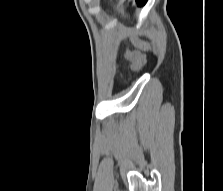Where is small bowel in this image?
I'll use <instances>...</instances> for the list:
<instances>
[{
  "label": "small bowel",
  "instance_id": "small-bowel-1",
  "mask_svg": "<svg viewBox=\"0 0 223 191\" xmlns=\"http://www.w3.org/2000/svg\"><path fill=\"white\" fill-rule=\"evenodd\" d=\"M126 58L133 63L136 69L140 68L145 60L142 54L136 51H131V50H128L126 52Z\"/></svg>",
  "mask_w": 223,
  "mask_h": 191
}]
</instances>
